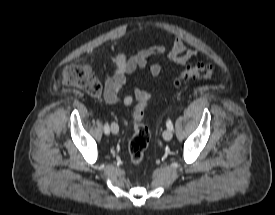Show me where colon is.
<instances>
[{
  "instance_id": "obj_1",
  "label": "colon",
  "mask_w": 275,
  "mask_h": 215,
  "mask_svg": "<svg viewBox=\"0 0 275 215\" xmlns=\"http://www.w3.org/2000/svg\"><path fill=\"white\" fill-rule=\"evenodd\" d=\"M215 74V67L209 63H198L182 70L174 79L175 85H181L191 79H209ZM64 82L77 87L90 96L101 93V84L87 65H70L64 73ZM148 100L140 101L134 111V135L129 143V158L133 165L142 162L150 140V132L142 123Z\"/></svg>"
}]
</instances>
